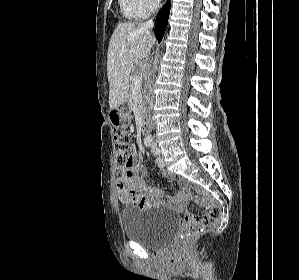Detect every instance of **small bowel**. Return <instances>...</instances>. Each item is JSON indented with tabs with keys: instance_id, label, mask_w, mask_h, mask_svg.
<instances>
[{
	"instance_id": "small-bowel-1",
	"label": "small bowel",
	"mask_w": 299,
	"mask_h": 280,
	"mask_svg": "<svg viewBox=\"0 0 299 280\" xmlns=\"http://www.w3.org/2000/svg\"><path fill=\"white\" fill-rule=\"evenodd\" d=\"M146 170L139 162V158L132 156V162L125 168L119 167V176L116 181L118 198L124 204H132L139 208L151 206H168L181 211L185 207L190 195V187L185 179H180L179 190L169 199H163V192L144 181ZM166 179L173 178L171 172H163Z\"/></svg>"
}]
</instances>
